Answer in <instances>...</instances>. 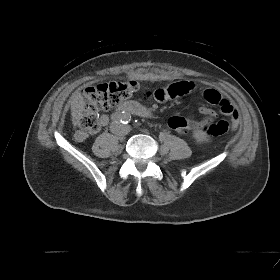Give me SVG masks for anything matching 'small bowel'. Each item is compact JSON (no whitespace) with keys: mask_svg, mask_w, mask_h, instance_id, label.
<instances>
[{"mask_svg":"<svg viewBox=\"0 0 280 280\" xmlns=\"http://www.w3.org/2000/svg\"><path fill=\"white\" fill-rule=\"evenodd\" d=\"M194 84L190 81H178L174 82L166 87L159 88L153 92L147 93V98H153L158 102H166L171 99H175L186 94L191 93L194 90ZM204 99L213 105L218 106L219 110L231 117L233 127H236L239 123V114L235 107L227 99L222 98L220 93L214 89H207L203 93ZM200 113L204 116L202 120H194L190 118H184L180 116H173L169 119V126L171 129L179 132L186 133L191 130L200 129L208 125L215 117L216 112L206 106L200 108ZM108 116L102 115L100 117V125L107 124ZM88 133L82 130L77 131L76 139L83 141L88 137Z\"/></svg>","mask_w":280,"mask_h":280,"instance_id":"obj_1","label":"small bowel"}]
</instances>
